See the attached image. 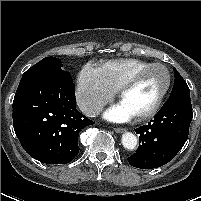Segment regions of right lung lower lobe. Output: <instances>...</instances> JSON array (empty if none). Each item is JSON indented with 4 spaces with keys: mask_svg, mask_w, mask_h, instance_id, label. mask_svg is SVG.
<instances>
[{
    "mask_svg": "<svg viewBox=\"0 0 201 201\" xmlns=\"http://www.w3.org/2000/svg\"><path fill=\"white\" fill-rule=\"evenodd\" d=\"M73 80L42 72L22 76L13 100V127L24 150L46 164H66L78 135L93 121L75 107Z\"/></svg>",
    "mask_w": 201,
    "mask_h": 201,
    "instance_id": "98d812e1",
    "label": "right lung lower lobe"
}]
</instances>
